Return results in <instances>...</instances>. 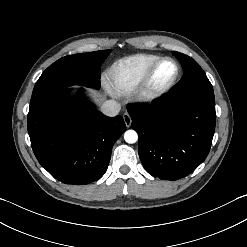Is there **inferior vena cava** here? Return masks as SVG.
<instances>
[{
	"label": "inferior vena cava",
	"mask_w": 247,
	"mask_h": 247,
	"mask_svg": "<svg viewBox=\"0 0 247 247\" xmlns=\"http://www.w3.org/2000/svg\"><path fill=\"white\" fill-rule=\"evenodd\" d=\"M121 105L114 100H107L101 106V112L109 117L118 115Z\"/></svg>",
	"instance_id": "1"
}]
</instances>
